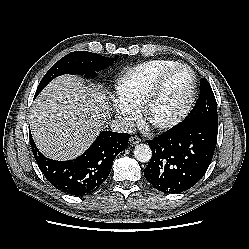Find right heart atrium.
<instances>
[{
	"instance_id": "1",
	"label": "right heart atrium",
	"mask_w": 249,
	"mask_h": 249,
	"mask_svg": "<svg viewBox=\"0 0 249 249\" xmlns=\"http://www.w3.org/2000/svg\"><path fill=\"white\" fill-rule=\"evenodd\" d=\"M113 110L116 114V117L121 122L124 127H130L134 120L136 119V112L135 110L131 109L130 107L126 106L119 100L115 99L112 103Z\"/></svg>"
}]
</instances>
